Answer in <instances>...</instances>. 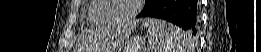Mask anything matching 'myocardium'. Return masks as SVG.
I'll list each match as a JSON object with an SVG mask.
<instances>
[{
	"instance_id": "obj_1",
	"label": "myocardium",
	"mask_w": 261,
	"mask_h": 52,
	"mask_svg": "<svg viewBox=\"0 0 261 52\" xmlns=\"http://www.w3.org/2000/svg\"><path fill=\"white\" fill-rule=\"evenodd\" d=\"M101 3V7L97 12L98 17L102 20L104 24H123L132 21L141 11L142 7V0H135V4L133 9L131 10L130 13H128L126 16H124L121 19L117 20H107L103 18V13L109 8V4L107 0H99Z\"/></svg>"
}]
</instances>
